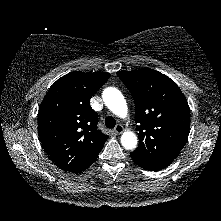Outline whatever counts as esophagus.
Returning <instances> with one entry per match:
<instances>
[{"label":"esophagus","instance_id":"esophagus-1","mask_svg":"<svg viewBox=\"0 0 221 221\" xmlns=\"http://www.w3.org/2000/svg\"><path fill=\"white\" fill-rule=\"evenodd\" d=\"M123 130H124L123 126L121 124H118L116 125L113 131L116 135H119L123 132Z\"/></svg>","mask_w":221,"mask_h":221}]
</instances>
